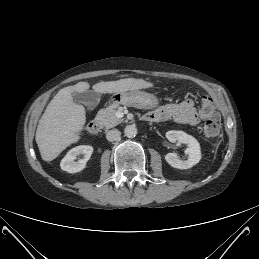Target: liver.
<instances>
[{
    "label": "liver",
    "instance_id": "liver-1",
    "mask_svg": "<svg viewBox=\"0 0 259 259\" xmlns=\"http://www.w3.org/2000/svg\"><path fill=\"white\" fill-rule=\"evenodd\" d=\"M152 86V83L143 79L125 78L99 82L92 88L95 92L103 94L134 91ZM89 88L87 82L62 88L48 104L39 120L35 136L44 161L54 160L63 150L79 140V133L86 122V112L82 105L73 101L72 93H82Z\"/></svg>",
    "mask_w": 259,
    "mask_h": 259
}]
</instances>
